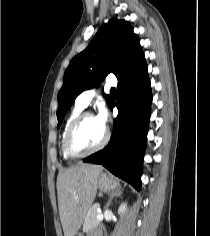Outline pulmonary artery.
<instances>
[{
    "label": "pulmonary artery",
    "mask_w": 210,
    "mask_h": 236,
    "mask_svg": "<svg viewBox=\"0 0 210 236\" xmlns=\"http://www.w3.org/2000/svg\"><path fill=\"white\" fill-rule=\"evenodd\" d=\"M105 83L107 86L115 87L117 85V79L115 76L109 75L106 78ZM95 94H96L95 88H91V89L83 91L77 97L76 104L82 108L87 107L89 105V103L91 102L92 98L95 96Z\"/></svg>",
    "instance_id": "1"
}]
</instances>
